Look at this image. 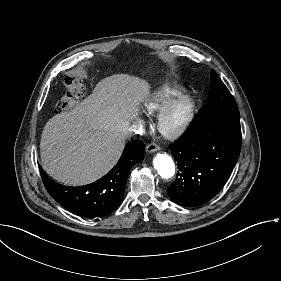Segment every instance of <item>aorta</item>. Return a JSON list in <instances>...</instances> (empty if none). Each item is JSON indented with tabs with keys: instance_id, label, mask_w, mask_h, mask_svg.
<instances>
[{
	"instance_id": "762f6f07",
	"label": "aorta",
	"mask_w": 281,
	"mask_h": 281,
	"mask_svg": "<svg viewBox=\"0 0 281 281\" xmlns=\"http://www.w3.org/2000/svg\"><path fill=\"white\" fill-rule=\"evenodd\" d=\"M154 168L163 179H169L175 174V165L167 154H157L153 161Z\"/></svg>"
}]
</instances>
